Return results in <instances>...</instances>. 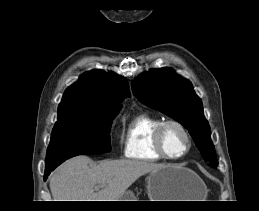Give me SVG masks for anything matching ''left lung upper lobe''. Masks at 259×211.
Returning a JSON list of instances; mask_svg holds the SVG:
<instances>
[{
  "instance_id": "5c2ea615",
  "label": "left lung upper lobe",
  "mask_w": 259,
  "mask_h": 211,
  "mask_svg": "<svg viewBox=\"0 0 259 211\" xmlns=\"http://www.w3.org/2000/svg\"><path fill=\"white\" fill-rule=\"evenodd\" d=\"M131 86L143 103L180 122L193 137L203 158L216 168L210 126L204 117L201 99L189 81L170 68H161L142 74Z\"/></svg>"
}]
</instances>
